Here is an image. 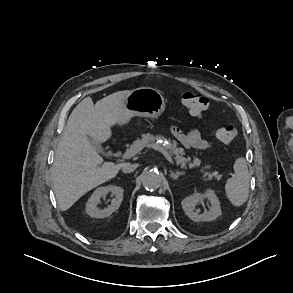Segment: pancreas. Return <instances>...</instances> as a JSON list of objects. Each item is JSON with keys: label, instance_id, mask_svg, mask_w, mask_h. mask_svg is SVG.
I'll return each mask as SVG.
<instances>
[{"label": "pancreas", "instance_id": "obj_1", "mask_svg": "<svg viewBox=\"0 0 293 293\" xmlns=\"http://www.w3.org/2000/svg\"><path fill=\"white\" fill-rule=\"evenodd\" d=\"M159 139H165L161 135H153L151 133H146L142 135L141 139H137L133 142L132 146H148L150 144H155L156 140ZM169 143L165 145V149L169 153L170 156L173 157L177 165H181L182 168H194L198 167L201 164V160L198 157H193V160H191L190 157H185V152L183 148L177 147V142L175 140H168ZM210 165H205L201 167L200 171L203 174V181H212L213 179L219 180L221 178V175L217 171H207L210 169Z\"/></svg>", "mask_w": 293, "mask_h": 293}]
</instances>
